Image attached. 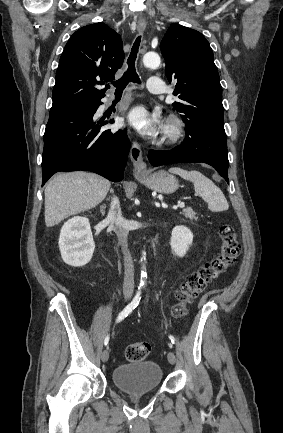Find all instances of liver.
Returning <instances> with one entry per match:
<instances>
[{
  "instance_id": "liver-1",
  "label": "liver",
  "mask_w": 283,
  "mask_h": 433,
  "mask_svg": "<svg viewBox=\"0 0 283 433\" xmlns=\"http://www.w3.org/2000/svg\"><path fill=\"white\" fill-rule=\"evenodd\" d=\"M110 180L93 172H60L45 188V223L54 227L71 214L94 208L105 198Z\"/></svg>"
}]
</instances>
